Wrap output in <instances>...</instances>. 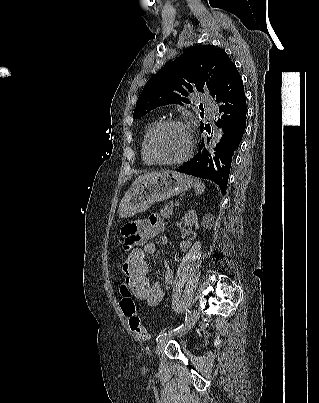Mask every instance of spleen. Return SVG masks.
Listing matches in <instances>:
<instances>
[{"label": "spleen", "instance_id": "1", "mask_svg": "<svg viewBox=\"0 0 319 403\" xmlns=\"http://www.w3.org/2000/svg\"><path fill=\"white\" fill-rule=\"evenodd\" d=\"M193 186H194V190H195L196 195H201L205 191V188H206L205 184L202 183L198 179H194Z\"/></svg>", "mask_w": 319, "mask_h": 403}]
</instances>
